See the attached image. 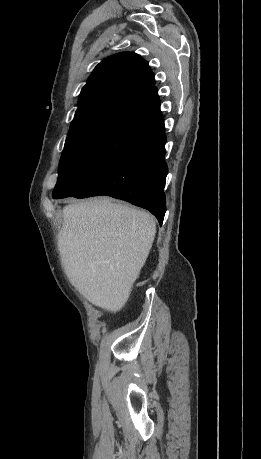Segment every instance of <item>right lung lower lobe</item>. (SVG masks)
I'll return each instance as SVG.
<instances>
[{"mask_svg":"<svg viewBox=\"0 0 261 459\" xmlns=\"http://www.w3.org/2000/svg\"><path fill=\"white\" fill-rule=\"evenodd\" d=\"M165 143L162 121L137 146L72 197L108 195L118 198L149 210L162 225L168 172L164 159Z\"/></svg>","mask_w":261,"mask_h":459,"instance_id":"right-lung-lower-lobe-1","label":"right lung lower lobe"}]
</instances>
